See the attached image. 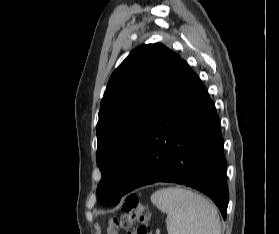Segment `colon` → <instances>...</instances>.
<instances>
[{
  "mask_svg": "<svg viewBox=\"0 0 279 234\" xmlns=\"http://www.w3.org/2000/svg\"><path fill=\"white\" fill-rule=\"evenodd\" d=\"M149 211L138 197H128L122 205L117 218L109 221L107 234H116V229L123 228L127 234H151L148 224Z\"/></svg>",
  "mask_w": 279,
  "mask_h": 234,
  "instance_id": "obj_1",
  "label": "colon"
}]
</instances>
